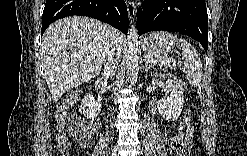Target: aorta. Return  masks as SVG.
I'll return each mask as SVG.
<instances>
[{
    "mask_svg": "<svg viewBox=\"0 0 247 156\" xmlns=\"http://www.w3.org/2000/svg\"><path fill=\"white\" fill-rule=\"evenodd\" d=\"M138 34L135 26H131L128 32V43L126 50V68L129 73L131 85H135L138 77Z\"/></svg>",
    "mask_w": 247,
    "mask_h": 156,
    "instance_id": "1",
    "label": "aorta"
}]
</instances>
